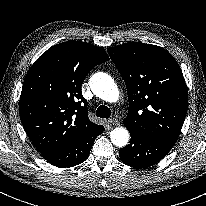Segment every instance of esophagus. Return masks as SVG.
I'll use <instances>...</instances> for the list:
<instances>
[{"label": "esophagus", "instance_id": "esophagus-1", "mask_svg": "<svg viewBox=\"0 0 206 206\" xmlns=\"http://www.w3.org/2000/svg\"><path fill=\"white\" fill-rule=\"evenodd\" d=\"M109 122H110L112 125H114V126H118V125H119V121H118V119H116V118H111V119L109 120Z\"/></svg>", "mask_w": 206, "mask_h": 206}]
</instances>
